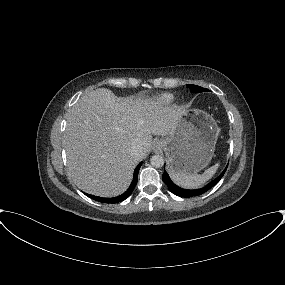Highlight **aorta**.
I'll use <instances>...</instances> for the list:
<instances>
[{
  "instance_id": "aorta-1",
  "label": "aorta",
  "mask_w": 285,
  "mask_h": 285,
  "mask_svg": "<svg viewBox=\"0 0 285 285\" xmlns=\"http://www.w3.org/2000/svg\"><path fill=\"white\" fill-rule=\"evenodd\" d=\"M151 165L155 168H160L164 165V159L161 155H154L150 159Z\"/></svg>"
}]
</instances>
